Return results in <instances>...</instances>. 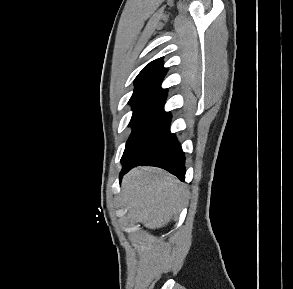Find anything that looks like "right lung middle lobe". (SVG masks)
<instances>
[{"label": "right lung middle lobe", "instance_id": "dd1d6c3e", "mask_svg": "<svg viewBox=\"0 0 293 289\" xmlns=\"http://www.w3.org/2000/svg\"><path fill=\"white\" fill-rule=\"evenodd\" d=\"M133 106V116L130 126L132 133L126 143V148L132 147L147 135L154 127L167 119L170 114L164 111V102L144 100L129 101Z\"/></svg>", "mask_w": 293, "mask_h": 289}]
</instances>
